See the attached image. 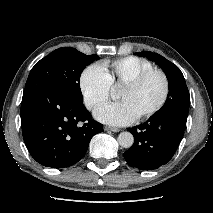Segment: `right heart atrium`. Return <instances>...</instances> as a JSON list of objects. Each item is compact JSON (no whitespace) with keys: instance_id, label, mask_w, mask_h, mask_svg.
<instances>
[{"instance_id":"right-heart-atrium-1","label":"right heart atrium","mask_w":213,"mask_h":213,"mask_svg":"<svg viewBox=\"0 0 213 213\" xmlns=\"http://www.w3.org/2000/svg\"><path fill=\"white\" fill-rule=\"evenodd\" d=\"M79 86L84 103L90 110L98 108L109 99L111 83L99 64H91L82 71Z\"/></svg>"}]
</instances>
